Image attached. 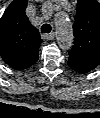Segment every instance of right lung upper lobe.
Instances as JSON below:
<instances>
[{"label":"right lung upper lobe","mask_w":100,"mask_h":118,"mask_svg":"<svg viewBox=\"0 0 100 118\" xmlns=\"http://www.w3.org/2000/svg\"><path fill=\"white\" fill-rule=\"evenodd\" d=\"M26 0H14L0 19V54L12 68L23 70L38 60L39 31L25 14Z\"/></svg>","instance_id":"right-lung-upper-lobe-1"}]
</instances>
